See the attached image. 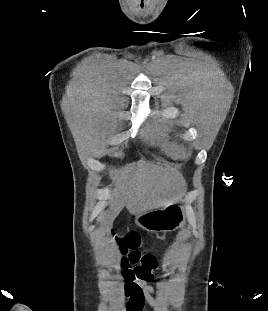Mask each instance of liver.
I'll return each mask as SVG.
<instances>
[{
  "instance_id": "6515ba94",
  "label": "liver",
  "mask_w": 268,
  "mask_h": 311,
  "mask_svg": "<svg viewBox=\"0 0 268 311\" xmlns=\"http://www.w3.org/2000/svg\"><path fill=\"white\" fill-rule=\"evenodd\" d=\"M184 185L181 173L162 166L137 163L126 167L108 198L106 226H111L124 206L131 214L165 207L176 201L175 192Z\"/></svg>"
}]
</instances>
